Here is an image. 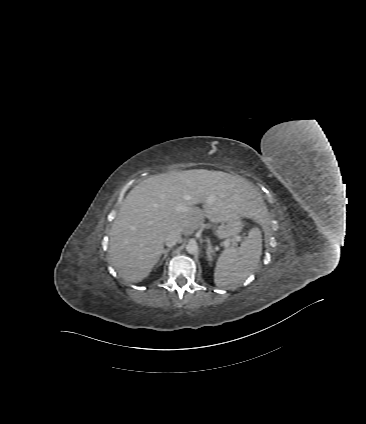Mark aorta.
<instances>
[{"label":"aorta","mask_w":366,"mask_h":424,"mask_svg":"<svg viewBox=\"0 0 366 424\" xmlns=\"http://www.w3.org/2000/svg\"><path fill=\"white\" fill-rule=\"evenodd\" d=\"M186 251L189 254H197L199 251L198 245L195 241H190L187 245H186Z\"/></svg>","instance_id":"aorta-1"}]
</instances>
